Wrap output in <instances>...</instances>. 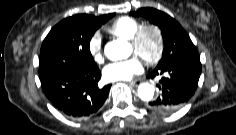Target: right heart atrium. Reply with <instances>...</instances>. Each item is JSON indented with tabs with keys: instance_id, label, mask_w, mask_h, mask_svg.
<instances>
[{
	"instance_id": "d8ad5b80",
	"label": "right heart atrium",
	"mask_w": 236,
	"mask_h": 135,
	"mask_svg": "<svg viewBox=\"0 0 236 135\" xmlns=\"http://www.w3.org/2000/svg\"><path fill=\"white\" fill-rule=\"evenodd\" d=\"M89 51L95 61L101 62L104 58V42L100 33H94L89 39Z\"/></svg>"
}]
</instances>
